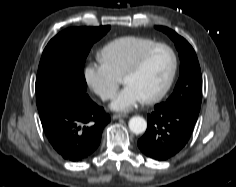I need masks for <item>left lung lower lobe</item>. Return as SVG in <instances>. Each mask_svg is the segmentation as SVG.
<instances>
[{
  "label": "left lung lower lobe",
  "mask_w": 236,
  "mask_h": 187,
  "mask_svg": "<svg viewBox=\"0 0 236 187\" xmlns=\"http://www.w3.org/2000/svg\"><path fill=\"white\" fill-rule=\"evenodd\" d=\"M199 113L185 107L169 108L162 103L148 115V127L138 147L152 159L163 161L174 156L188 142Z\"/></svg>",
  "instance_id": "obj_1"
}]
</instances>
